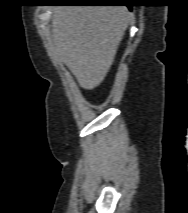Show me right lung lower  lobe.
<instances>
[{
    "label": "right lung lower lobe",
    "mask_w": 188,
    "mask_h": 213,
    "mask_svg": "<svg viewBox=\"0 0 188 213\" xmlns=\"http://www.w3.org/2000/svg\"><path fill=\"white\" fill-rule=\"evenodd\" d=\"M56 3H59V2H56ZM128 7H129V8H131V6H130V5H129Z\"/></svg>",
    "instance_id": "right-lung-lower-lobe-1"
}]
</instances>
